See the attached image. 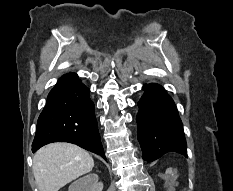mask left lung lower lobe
I'll return each mask as SVG.
<instances>
[{"mask_svg":"<svg viewBox=\"0 0 233 191\" xmlns=\"http://www.w3.org/2000/svg\"><path fill=\"white\" fill-rule=\"evenodd\" d=\"M136 117L142 158L152 162L165 154L187 157L182 122L173 99L155 83L143 86Z\"/></svg>","mask_w":233,"mask_h":191,"instance_id":"1","label":"left lung lower lobe"}]
</instances>
